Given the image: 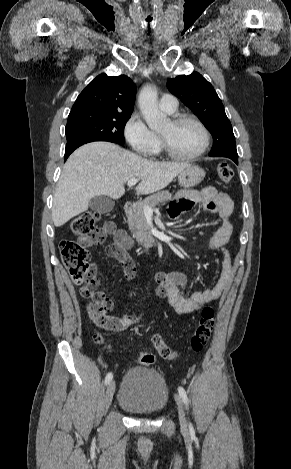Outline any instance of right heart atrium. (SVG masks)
<instances>
[{"instance_id": "right-heart-atrium-1", "label": "right heart atrium", "mask_w": 291, "mask_h": 469, "mask_svg": "<svg viewBox=\"0 0 291 469\" xmlns=\"http://www.w3.org/2000/svg\"><path fill=\"white\" fill-rule=\"evenodd\" d=\"M123 135L132 150L142 156L152 155L159 146L158 136L137 113L132 114L126 121Z\"/></svg>"}]
</instances>
